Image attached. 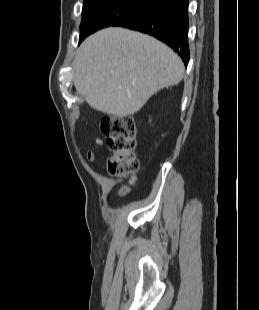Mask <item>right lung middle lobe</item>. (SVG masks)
I'll list each match as a JSON object with an SVG mask.
<instances>
[{
    "instance_id": "obj_1",
    "label": "right lung middle lobe",
    "mask_w": 259,
    "mask_h": 310,
    "mask_svg": "<svg viewBox=\"0 0 259 310\" xmlns=\"http://www.w3.org/2000/svg\"><path fill=\"white\" fill-rule=\"evenodd\" d=\"M157 0H106L83 8L80 25L81 42L99 29L114 26L119 21L153 5Z\"/></svg>"
}]
</instances>
